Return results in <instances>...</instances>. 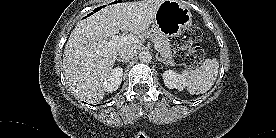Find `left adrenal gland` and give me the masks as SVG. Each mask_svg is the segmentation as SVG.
<instances>
[{"mask_svg":"<svg viewBox=\"0 0 276 138\" xmlns=\"http://www.w3.org/2000/svg\"><path fill=\"white\" fill-rule=\"evenodd\" d=\"M156 59L167 65L166 61L163 58L159 57L158 54H156Z\"/></svg>","mask_w":276,"mask_h":138,"instance_id":"left-adrenal-gland-1","label":"left adrenal gland"}]
</instances>
